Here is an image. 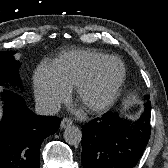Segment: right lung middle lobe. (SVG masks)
Returning a JSON list of instances; mask_svg holds the SVG:
<instances>
[{
    "label": "right lung middle lobe",
    "mask_w": 168,
    "mask_h": 168,
    "mask_svg": "<svg viewBox=\"0 0 168 168\" xmlns=\"http://www.w3.org/2000/svg\"><path fill=\"white\" fill-rule=\"evenodd\" d=\"M15 53L13 51L0 52V86L6 83H20L18 68L21 64L15 61L13 57Z\"/></svg>",
    "instance_id": "1"
}]
</instances>
